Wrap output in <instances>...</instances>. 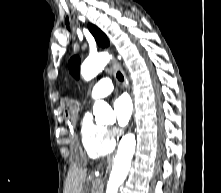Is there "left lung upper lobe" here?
<instances>
[{
    "label": "left lung upper lobe",
    "instance_id": "obj_1",
    "mask_svg": "<svg viewBox=\"0 0 221 193\" xmlns=\"http://www.w3.org/2000/svg\"><path fill=\"white\" fill-rule=\"evenodd\" d=\"M90 32L95 37L98 45L102 47H107L109 45V40L106 35L98 29L96 26L89 24L88 25ZM79 67H80V58L78 56H74L69 61V70L70 73L76 78H79Z\"/></svg>",
    "mask_w": 221,
    "mask_h": 193
}]
</instances>
